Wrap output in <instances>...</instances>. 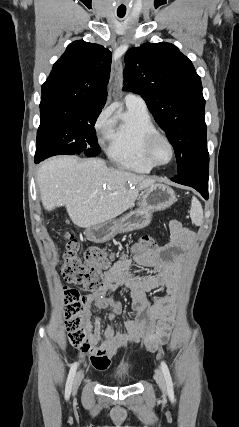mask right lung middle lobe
<instances>
[{"label": "right lung middle lobe", "instance_id": "dd1d6c3e", "mask_svg": "<svg viewBox=\"0 0 239 427\" xmlns=\"http://www.w3.org/2000/svg\"><path fill=\"white\" fill-rule=\"evenodd\" d=\"M103 107L65 101H41L35 160L58 154L93 157L100 153L95 122Z\"/></svg>", "mask_w": 239, "mask_h": 427}]
</instances>
